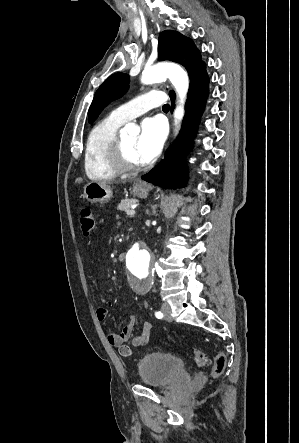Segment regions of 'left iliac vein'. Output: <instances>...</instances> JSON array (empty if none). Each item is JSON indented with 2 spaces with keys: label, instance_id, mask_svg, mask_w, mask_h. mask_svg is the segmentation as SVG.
Wrapping results in <instances>:
<instances>
[{
  "label": "left iliac vein",
  "instance_id": "obj_1",
  "mask_svg": "<svg viewBox=\"0 0 299 443\" xmlns=\"http://www.w3.org/2000/svg\"><path fill=\"white\" fill-rule=\"evenodd\" d=\"M162 312L164 314V317L166 320L168 321H172V316H171V307L169 304L164 303L161 307Z\"/></svg>",
  "mask_w": 299,
  "mask_h": 443
}]
</instances>
